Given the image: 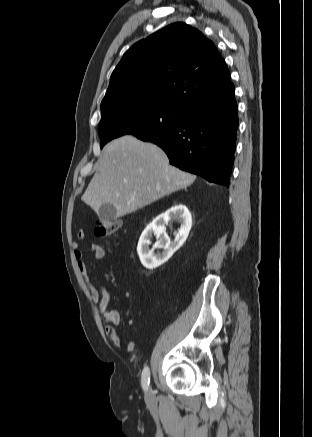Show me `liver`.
I'll use <instances>...</instances> for the list:
<instances>
[{
    "instance_id": "liver-1",
    "label": "liver",
    "mask_w": 312,
    "mask_h": 437,
    "mask_svg": "<svg viewBox=\"0 0 312 437\" xmlns=\"http://www.w3.org/2000/svg\"><path fill=\"white\" fill-rule=\"evenodd\" d=\"M195 175L171 166L157 145L126 135L109 142L82 201L96 213L112 204L116 217L147 206L194 182Z\"/></svg>"
}]
</instances>
